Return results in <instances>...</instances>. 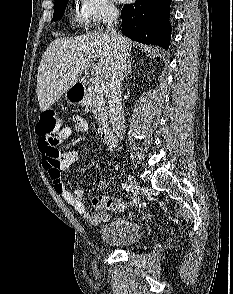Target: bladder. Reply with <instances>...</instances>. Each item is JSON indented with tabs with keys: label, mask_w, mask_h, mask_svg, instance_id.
I'll return each instance as SVG.
<instances>
[{
	"label": "bladder",
	"mask_w": 233,
	"mask_h": 294,
	"mask_svg": "<svg viewBox=\"0 0 233 294\" xmlns=\"http://www.w3.org/2000/svg\"><path fill=\"white\" fill-rule=\"evenodd\" d=\"M99 237L108 246L130 248L145 237V230L139 222L132 219L116 218L100 228Z\"/></svg>",
	"instance_id": "31cf9c89"
}]
</instances>
